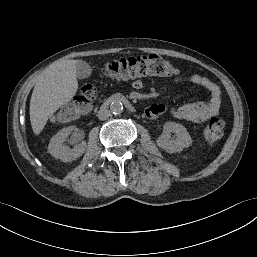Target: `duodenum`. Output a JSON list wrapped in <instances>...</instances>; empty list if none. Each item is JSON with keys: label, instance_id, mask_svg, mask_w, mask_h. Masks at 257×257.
<instances>
[{"label": "duodenum", "instance_id": "obj_1", "mask_svg": "<svg viewBox=\"0 0 257 257\" xmlns=\"http://www.w3.org/2000/svg\"><path fill=\"white\" fill-rule=\"evenodd\" d=\"M113 102H121L123 103L128 109L130 110H134V107H133V104L132 102L125 96L123 95H120V94H117V95H113L107 99H105L103 102H102V105L101 107L104 108L106 106H108L110 103H113Z\"/></svg>", "mask_w": 257, "mask_h": 257}]
</instances>
